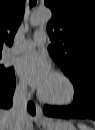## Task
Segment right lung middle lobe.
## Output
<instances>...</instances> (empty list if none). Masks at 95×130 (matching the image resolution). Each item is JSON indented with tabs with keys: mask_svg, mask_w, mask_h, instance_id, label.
<instances>
[{
	"mask_svg": "<svg viewBox=\"0 0 95 130\" xmlns=\"http://www.w3.org/2000/svg\"><path fill=\"white\" fill-rule=\"evenodd\" d=\"M1 58V55H0ZM14 75V68H6L0 63V81H5Z\"/></svg>",
	"mask_w": 95,
	"mask_h": 130,
	"instance_id": "obj_1",
	"label": "right lung middle lobe"
}]
</instances>
